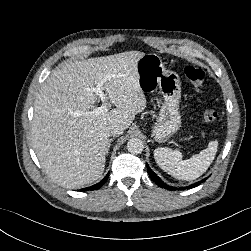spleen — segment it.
<instances>
[{"instance_id": "spleen-1", "label": "spleen", "mask_w": 251, "mask_h": 251, "mask_svg": "<svg viewBox=\"0 0 251 251\" xmlns=\"http://www.w3.org/2000/svg\"><path fill=\"white\" fill-rule=\"evenodd\" d=\"M218 141L209 142L206 149L190 159L182 160L181 152L170 148H156L154 158L158 166L169 175L181 180H194L205 173L213 162Z\"/></svg>"}]
</instances>
